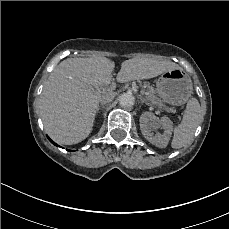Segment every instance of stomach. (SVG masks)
Here are the masks:
<instances>
[{
    "label": "stomach",
    "mask_w": 229,
    "mask_h": 229,
    "mask_svg": "<svg viewBox=\"0 0 229 229\" xmlns=\"http://www.w3.org/2000/svg\"><path fill=\"white\" fill-rule=\"evenodd\" d=\"M156 91L167 103L180 106L189 101L193 93V82L183 69H172L157 79Z\"/></svg>",
    "instance_id": "stomach-1"
}]
</instances>
